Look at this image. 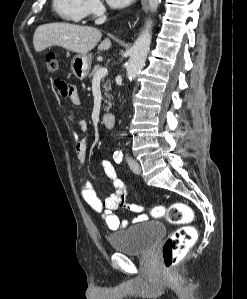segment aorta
<instances>
[{
  "instance_id": "1",
  "label": "aorta",
  "mask_w": 247,
  "mask_h": 299,
  "mask_svg": "<svg viewBox=\"0 0 247 299\" xmlns=\"http://www.w3.org/2000/svg\"><path fill=\"white\" fill-rule=\"evenodd\" d=\"M160 2L161 0H149L151 10L155 11ZM151 25L152 22L148 21L145 29L142 31L130 49V57L126 67V74L130 81L134 80L145 66L152 39Z\"/></svg>"
}]
</instances>
